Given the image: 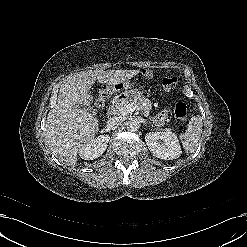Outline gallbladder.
Masks as SVG:
<instances>
[{
	"mask_svg": "<svg viewBox=\"0 0 247 247\" xmlns=\"http://www.w3.org/2000/svg\"><path fill=\"white\" fill-rule=\"evenodd\" d=\"M91 109H92V108H90V107L88 108V110H91Z\"/></svg>",
	"mask_w": 247,
	"mask_h": 247,
	"instance_id": "1",
	"label": "gallbladder"
}]
</instances>
